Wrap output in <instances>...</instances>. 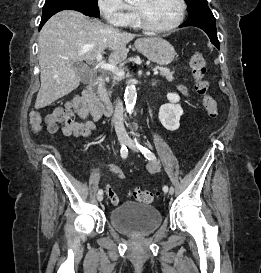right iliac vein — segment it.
<instances>
[{
  "mask_svg": "<svg viewBox=\"0 0 261 273\" xmlns=\"http://www.w3.org/2000/svg\"><path fill=\"white\" fill-rule=\"evenodd\" d=\"M126 143V138L124 136L119 137V144L120 146H123ZM97 200L101 202L103 200V194H98Z\"/></svg>",
  "mask_w": 261,
  "mask_h": 273,
  "instance_id": "63e3f726",
  "label": "right iliac vein"
}]
</instances>
